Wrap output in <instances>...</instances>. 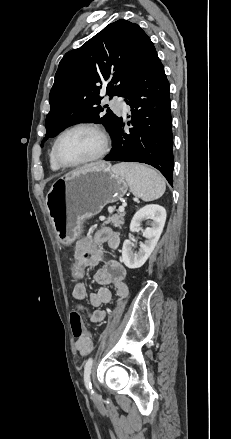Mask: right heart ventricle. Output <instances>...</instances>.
<instances>
[{"label":"right heart ventricle","instance_id":"right-heart-ventricle-1","mask_svg":"<svg viewBox=\"0 0 231 439\" xmlns=\"http://www.w3.org/2000/svg\"><path fill=\"white\" fill-rule=\"evenodd\" d=\"M49 162H50V167L52 170L58 171V170L62 169V167L56 162V160L54 158L53 145H52L50 152H49Z\"/></svg>","mask_w":231,"mask_h":439}]
</instances>
